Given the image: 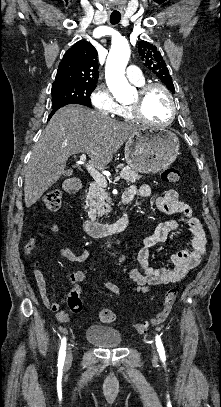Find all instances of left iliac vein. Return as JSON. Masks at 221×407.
<instances>
[{"mask_svg": "<svg viewBox=\"0 0 221 407\" xmlns=\"http://www.w3.org/2000/svg\"><path fill=\"white\" fill-rule=\"evenodd\" d=\"M152 353H153V358H154L155 360H157L158 356H157V352H156L154 346H152Z\"/></svg>", "mask_w": 221, "mask_h": 407, "instance_id": "1", "label": "left iliac vein"}]
</instances>
